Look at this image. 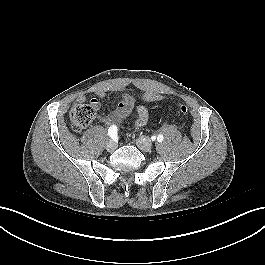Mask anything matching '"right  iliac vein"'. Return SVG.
I'll use <instances>...</instances> for the list:
<instances>
[{"label": "right iliac vein", "instance_id": "63e3f726", "mask_svg": "<svg viewBox=\"0 0 265 265\" xmlns=\"http://www.w3.org/2000/svg\"><path fill=\"white\" fill-rule=\"evenodd\" d=\"M117 148V142L114 140H111L107 143L106 149L108 152H113Z\"/></svg>", "mask_w": 265, "mask_h": 265}]
</instances>
